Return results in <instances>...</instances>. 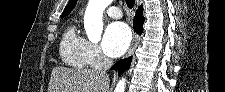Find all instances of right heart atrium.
Instances as JSON below:
<instances>
[{
	"label": "right heart atrium",
	"instance_id": "1",
	"mask_svg": "<svg viewBox=\"0 0 225 92\" xmlns=\"http://www.w3.org/2000/svg\"><path fill=\"white\" fill-rule=\"evenodd\" d=\"M104 63V57L101 48L96 43L88 41L86 64L91 67L101 66Z\"/></svg>",
	"mask_w": 225,
	"mask_h": 92
}]
</instances>
